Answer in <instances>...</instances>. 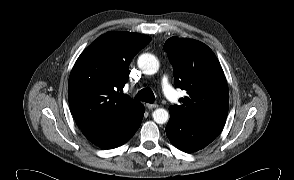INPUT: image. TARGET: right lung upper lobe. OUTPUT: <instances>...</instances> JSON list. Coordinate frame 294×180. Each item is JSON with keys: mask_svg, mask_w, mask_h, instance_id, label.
<instances>
[{"mask_svg": "<svg viewBox=\"0 0 294 180\" xmlns=\"http://www.w3.org/2000/svg\"><path fill=\"white\" fill-rule=\"evenodd\" d=\"M151 38L138 33L108 32L79 56L68 82V99L80 129L112 123L137 101L122 94L129 64Z\"/></svg>", "mask_w": 294, "mask_h": 180, "instance_id": "cb5924a9", "label": "right lung upper lobe"}]
</instances>
